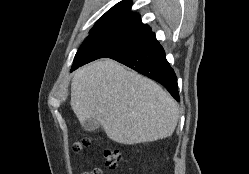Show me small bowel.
Masks as SVG:
<instances>
[{
	"label": "small bowel",
	"instance_id": "c3829d8e",
	"mask_svg": "<svg viewBox=\"0 0 249 174\" xmlns=\"http://www.w3.org/2000/svg\"><path fill=\"white\" fill-rule=\"evenodd\" d=\"M83 174H104V171L100 168H94L90 171L84 172Z\"/></svg>",
	"mask_w": 249,
	"mask_h": 174
}]
</instances>
